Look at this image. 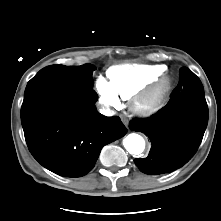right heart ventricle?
I'll return each mask as SVG.
<instances>
[{
	"instance_id": "1",
	"label": "right heart ventricle",
	"mask_w": 221,
	"mask_h": 221,
	"mask_svg": "<svg viewBox=\"0 0 221 221\" xmlns=\"http://www.w3.org/2000/svg\"><path fill=\"white\" fill-rule=\"evenodd\" d=\"M166 70L164 65H121L111 67L107 76L117 96L128 100L157 81Z\"/></svg>"
}]
</instances>
